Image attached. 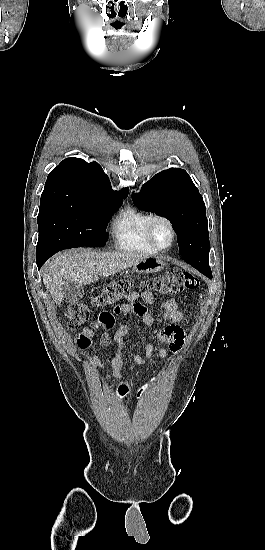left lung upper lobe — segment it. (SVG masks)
<instances>
[{
	"mask_svg": "<svg viewBox=\"0 0 265 550\" xmlns=\"http://www.w3.org/2000/svg\"><path fill=\"white\" fill-rule=\"evenodd\" d=\"M132 200L140 209L170 220L184 261L209 258L205 204L185 170L170 168L158 173Z\"/></svg>",
	"mask_w": 265,
	"mask_h": 550,
	"instance_id": "5c2ea615",
	"label": "left lung upper lobe"
}]
</instances>
